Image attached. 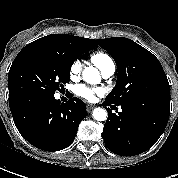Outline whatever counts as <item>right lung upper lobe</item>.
Here are the masks:
<instances>
[{
	"label": "right lung upper lobe",
	"instance_id": "obj_1",
	"mask_svg": "<svg viewBox=\"0 0 178 178\" xmlns=\"http://www.w3.org/2000/svg\"><path fill=\"white\" fill-rule=\"evenodd\" d=\"M44 44L67 49H75L81 52L80 55L95 48L97 43L94 39H87L67 34H50L31 42L28 45ZM79 55V56H80ZM78 56V57H79Z\"/></svg>",
	"mask_w": 178,
	"mask_h": 178
}]
</instances>
